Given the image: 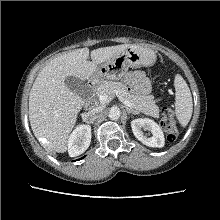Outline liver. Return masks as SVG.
<instances>
[{"label": "liver", "instance_id": "6515ba94", "mask_svg": "<svg viewBox=\"0 0 220 220\" xmlns=\"http://www.w3.org/2000/svg\"><path fill=\"white\" fill-rule=\"evenodd\" d=\"M132 44L94 49L81 48L51 60L38 74L29 94V120L36 138L48 151L64 153L85 101L66 85V78L90 80L97 67Z\"/></svg>", "mask_w": 220, "mask_h": 220}]
</instances>
